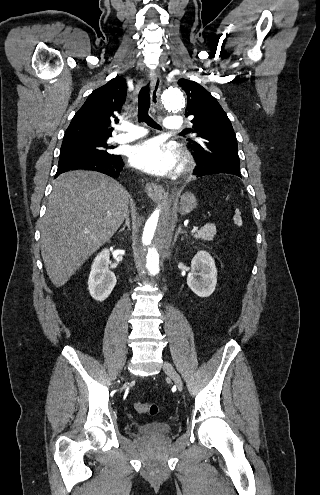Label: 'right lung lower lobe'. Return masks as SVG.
<instances>
[{"mask_svg": "<svg viewBox=\"0 0 320 495\" xmlns=\"http://www.w3.org/2000/svg\"><path fill=\"white\" fill-rule=\"evenodd\" d=\"M124 162L120 155L108 157L67 156L59 158L55 178L60 174L76 169L92 170L118 177L123 170Z\"/></svg>", "mask_w": 320, "mask_h": 495, "instance_id": "1", "label": "right lung lower lobe"}]
</instances>
